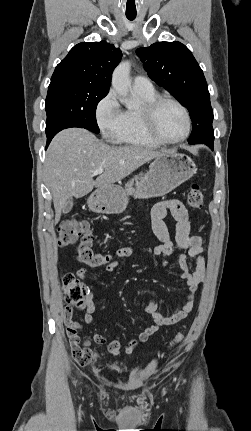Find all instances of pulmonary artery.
<instances>
[{
    "instance_id": "obj_1",
    "label": "pulmonary artery",
    "mask_w": 251,
    "mask_h": 431,
    "mask_svg": "<svg viewBox=\"0 0 251 431\" xmlns=\"http://www.w3.org/2000/svg\"><path fill=\"white\" fill-rule=\"evenodd\" d=\"M133 89L135 91L150 92L154 90V87L148 78L137 75L133 79Z\"/></svg>"
}]
</instances>
